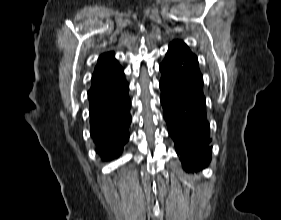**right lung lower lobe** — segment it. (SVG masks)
I'll return each instance as SVG.
<instances>
[{"instance_id":"right-lung-lower-lobe-1","label":"right lung lower lobe","mask_w":281,"mask_h":220,"mask_svg":"<svg viewBox=\"0 0 281 220\" xmlns=\"http://www.w3.org/2000/svg\"><path fill=\"white\" fill-rule=\"evenodd\" d=\"M128 89L124 79L115 86L88 91L91 137L102 160L117 158L129 139Z\"/></svg>"}]
</instances>
